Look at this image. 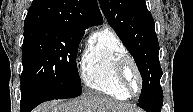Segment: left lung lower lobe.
I'll return each instance as SVG.
<instances>
[{"instance_id":"1","label":"left lung lower lobe","mask_w":193,"mask_h":112,"mask_svg":"<svg viewBox=\"0 0 193 112\" xmlns=\"http://www.w3.org/2000/svg\"><path fill=\"white\" fill-rule=\"evenodd\" d=\"M137 105L147 112H160L163 105V92L160 84L152 98L139 102Z\"/></svg>"}]
</instances>
